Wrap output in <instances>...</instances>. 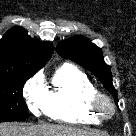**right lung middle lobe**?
Here are the masks:
<instances>
[{
	"mask_svg": "<svg viewBox=\"0 0 136 136\" xmlns=\"http://www.w3.org/2000/svg\"><path fill=\"white\" fill-rule=\"evenodd\" d=\"M31 76L33 74L0 75V122L20 121L29 117L22 90Z\"/></svg>",
	"mask_w": 136,
	"mask_h": 136,
	"instance_id": "dd1d6c3e",
	"label": "right lung middle lobe"
}]
</instances>
